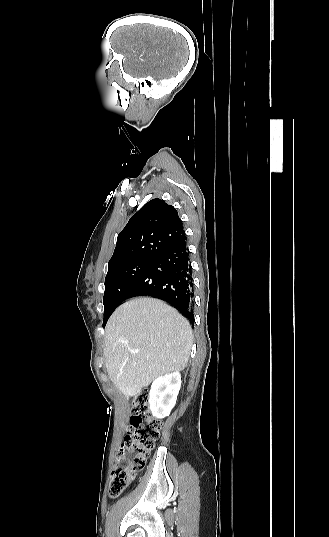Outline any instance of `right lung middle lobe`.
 Instances as JSON below:
<instances>
[{"mask_svg":"<svg viewBox=\"0 0 329 537\" xmlns=\"http://www.w3.org/2000/svg\"><path fill=\"white\" fill-rule=\"evenodd\" d=\"M151 262V259L134 260L108 271L105 278V293L103 298V327L106 325L114 308L122 302L127 290Z\"/></svg>","mask_w":329,"mask_h":537,"instance_id":"dd1d6c3e","label":"right lung middle lobe"}]
</instances>
